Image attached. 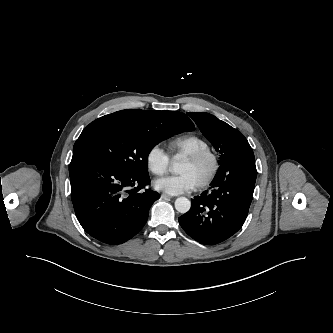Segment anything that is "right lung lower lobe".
Masks as SVG:
<instances>
[{
  "mask_svg": "<svg viewBox=\"0 0 333 333\" xmlns=\"http://www.w3.org/2000/svg\"><path fill=\"white\" fill-rule=\"evenodd\" d=\"M69 174L78 221L89 235L107 244L136 235L159 199L157 192L142 190L150 183L149 175L126 173L85 151L73 153Z\"/></svg>",
  "mask_w": 333,
  "mask_h": 333,
  "instance_id": "98d812e1",
  "label": "right lung lower lobe"
}]
</instances>
